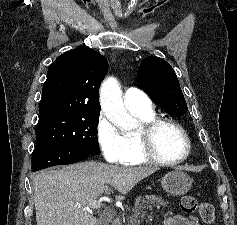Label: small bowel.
<instances>
[{"label":"small bowel","instance_id":"1","mask_svg":"<svg viewBox=\"0 0 237 225\" xmlns=\"http://www.w3.org/2000/svg\"><path fill=\"white\" fill-rule=\"evenodd\" d=\"M165 225H200L196 219L188 218L182 215L169 217L165 221Z\"/></svg>","mask_w":237,"mask_h":225}]
</instances>
